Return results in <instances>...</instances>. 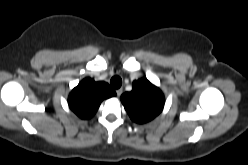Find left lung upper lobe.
I'll return each mask as SVG.
<instances>
[{"label": "left lung upper lobe", "mask_w": 248, "mask_h": 165, "mask_svg": "<svg viewBox=\"0 0 248 165\" xmlns=\"http://www.w3.org/2000/svg\"><path fill=\"white\" fill-rule=\"evenodd\" d=\"M121 102L130 118L143 124L160 114L164 106V95L158 87L142 78L133 82L131 92L122 94Z\"/></svg>", "instance_id": "obj_1"}]
</instances>
